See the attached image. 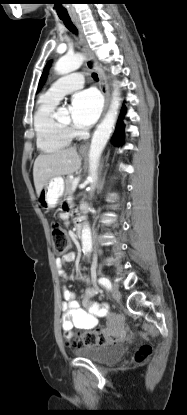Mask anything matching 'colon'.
Returning a JSON list of instances; mask_svg holds the SVG:
<instances>
[{
	"instance_id": "colon-1",
	"label": "colon",
	"mask_w": 187,
	"mask_h": 415,
	"mask_svg": "<svg viewBox=\"0 0 187 415\" xmlns=\"http://www.w3.org/2000/svg\"><path fill=\"white\" fill-rule=\"evenodd\" d=\"M51 235L54 253L57 256L66 254L71 246V239L63 227L58 224L53 225L51 227ZM132 335L133 331L128 332L123 327H115L112 330H97L80 334L76 337V343L79 345L102 346L126 337H131ZM151 351L152 347L149 344H143L138 348L135 359L138 362H143L148 358Z\"/></svg>"
}]
</instances>
